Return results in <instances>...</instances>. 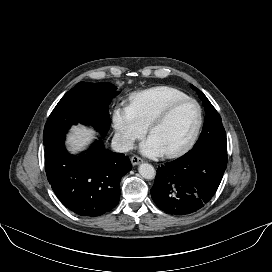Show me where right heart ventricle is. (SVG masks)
I'll return each instance as SVG.
<instances>
[{
	"label": "right heart ventricle",
	"instance_id": "e07e8e85",
	"mask_svg": "<svg viewBox=\"0 0 272 272\" xmlns=\"http://www.w3.org/2000/svg\"><path fill=\"white\" fill-rule=\"evenodd\" d=\"M185 97L188 96L176 88L157 86L131 95L129 107L147 128L151 120L169 103Z\"/></svg>",
	"mask_w": 272,
	"mask_h": 272
}]
</instances>
